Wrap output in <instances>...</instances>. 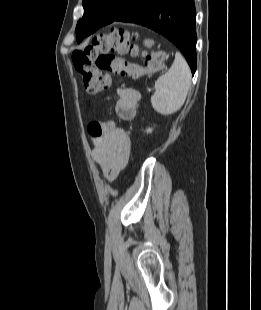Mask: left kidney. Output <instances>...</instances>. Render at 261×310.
I'll return each mask as SVG.
<instances>
[{
  "mask_svg": "<svg viewBox=\"0 0 261 310\" xmlns=\"http://www.w3.org/2000/svg\"><path fill=\"white\" fill-rule=\"evenodd\" d=\"M151 132H152L151 128L147 129V133H151Z\"/></svg>",
  "mask_w": 261,
  "mask_h": 310,
  "instance_id": "obj_1",
  "label": "left kidney"
}]
</instances>
